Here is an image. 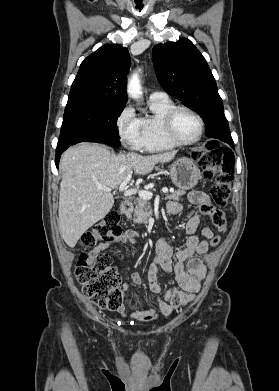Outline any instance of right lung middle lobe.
Returning a JSON list of instances; mask_svg holds the SVG:
<instances>
[{"mask_svg": "<svg viewBox=\"0 0 279 391\" xmlns=\"http://www.w3.org/2000/svg\"><path fill=\"white\" fill-rule=\"evenodd\" d=\"M123 108L92 105L65 110L57 147L92 141L107 135L118 137L116 123Z\"/></svg>", "mask_w": 279, "mask_h": 391, "instance_id": "right-lung-middle-lobe-1", "label": "right lung middle lobe"}]
</instances>
